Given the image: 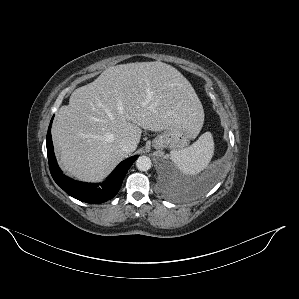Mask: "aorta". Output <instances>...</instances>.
Segmentation results:
<instances>
[{
    "mask_svg": "<svg viewBox=\"0 0 299 299\" xmlns=\"http://www.w3.org/2000/svg\"><path fill=\"white\" fill-rule=\"evenodd\" d=\"M151 159L147 156H140L136 160V167L140 171H148L151 168Z\"/></svg>",
    "mask_w": 299,
    "mask_h": 299,
    "instance_id": "aorta-1",
    "label": "aorta"
}]
</instances>
